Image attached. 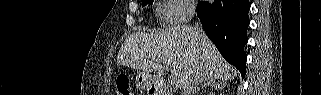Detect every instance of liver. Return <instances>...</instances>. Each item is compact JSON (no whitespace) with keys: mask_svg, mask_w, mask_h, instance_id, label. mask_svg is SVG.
<instances>
[{"mask_svg":"<svg viewBox=\"0 0 321 95\" xmlns=\"http://www.w3.org/2000/svg\"><path fill=\"white\" fill-rule=\"evenodd\" d=\"M173 66L180 88L197 71L204 80L226 82L237 76V71L220 55L204 34L197 37L193 27L178 25L159 33H132L126 38L117 55V64L141 70L153 79L164 74L162 61Z\"/></svg>","mask_w":321,"mask_h":95,"instance_id":"1","label":"liver"}]
</instances>
